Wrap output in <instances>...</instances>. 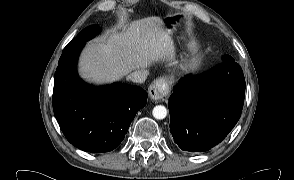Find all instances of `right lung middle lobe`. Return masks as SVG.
<instances>
[{"label": "right lung middle lobe", "instance_id": "dd1d6c3e", "mask_svg": "<svg viewBox=\"0 0 294 180\" xmlns=\"http://www.w3.org/2000/svg\"><path fill=\"white\" fill-rule=\"evenodd\" d=\"M101 31L98 25H92L82 30L65 48L64 50L70 49L77 45H83L86 41L93 38Z\"/></svg>", "mask_w": 294, "mask_h": 180}]
</instances>
